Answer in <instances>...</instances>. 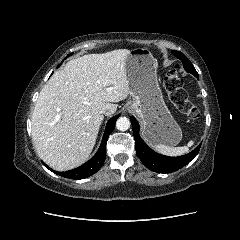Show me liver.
<instances>
[{
	"mask_svg": "<svg viewBox=\"0 0 240 240\" xmlns=\"http://www.w3.org/2000/svg\"><path fill=\"white\" fill-rule=\"evenodd\" d=\"M128 49L70 60L42 88L32 113V140L40 158L66 171L87 161L100 125L130 95Z\"/></svg>",
	"mask_w": 240,
	"mask_h": 240,
	"instance_id": "liver-1",
	"label": "liver"
}]
</instances>
